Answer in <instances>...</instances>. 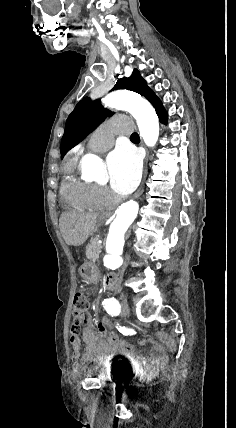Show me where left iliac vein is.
I'll return each mask as SVG.
<instances>
[{"mask_svg":"<svg viewBox=\"0 0 236 428\" xmlns=\"http://www.w3.org/2000/svg\"><path fill=\"white\" fill-rule=\"evenodd\" d=\"M122 303L120 304V307H121V309H122V311L124 312V315H127V314H129V309H130V306H129V304L127 303V300H126V298H123V300L121 301Z\"/></svg>","mask_w":236,"mask_h":428,"instance_id":"obj_1","label":"left iliac vein"}]
</instances>
